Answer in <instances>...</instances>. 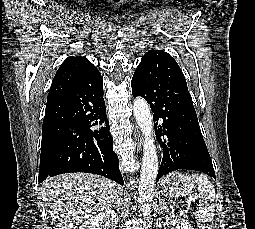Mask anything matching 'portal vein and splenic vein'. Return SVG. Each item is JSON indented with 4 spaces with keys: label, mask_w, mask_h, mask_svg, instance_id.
Segmentation results:
<instances>
[{
    "label": "portal vein and splenic vein",
    "mask_w": 255,
    "mask_h": 229,
    "mask_svg": "<svg viewBox=\"0 0 255 229\" xmlns=\"http://www.w3.org/2000/svg\"><path fill=\"white\" fill-rule=\"evenodd\" d=\"M191 203H195V200H194V199H190V200L188 201V205H190Z\"/></svg>",
    "instance_id": "portal-vein-and-splenic-vein-1"
}]
</instances>
